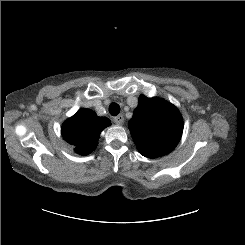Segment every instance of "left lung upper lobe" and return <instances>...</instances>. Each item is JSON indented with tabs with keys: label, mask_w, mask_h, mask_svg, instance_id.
I'll return each instance as SVG.
<instances>
[{
	"label": "left lung upper lobe",
	"mask_w": 245,
	"mask_h": 245,
	"mask_svg": "<svg viewBox=\"0 0 245 245\" xmlns=\"http://www.w3.org/2000/svg\"><path fill=\"white\" fill-rule=\"evenodd\" d=\"M129 129L141 155L157 158L170 153L179 143L183 119L168 101L141 95L129 121Z\"/></svg>",
	"instance_id": "obj_1"
}]
</instances>
